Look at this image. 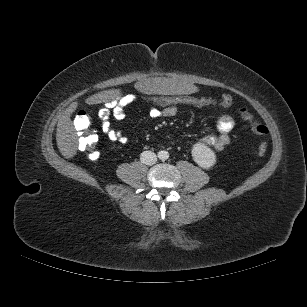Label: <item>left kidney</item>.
<instances>
[{"instance_id": "obj_1", "label": "left kidney", "mask_w": 307, "mask_h": 307, "mask_svg": "<svg viewBox=\"0 0 307 307\" xmlns=\"http://www.w3.org/2000/svg\"><path fill=\"white\" fill-rule=\"evenodd\" d=\"M193 160L202 168L209 169L216 163V154L204 143L198 142L192 147Z\"/></svg>"}]
</instances>
